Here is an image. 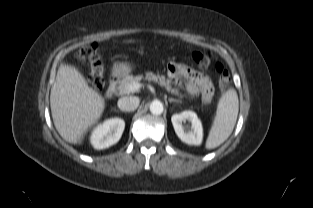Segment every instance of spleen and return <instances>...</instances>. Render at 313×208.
I'll return each instance as SVG.
<instances>
[{"mask_svg": "<svg viewBox=\"0 0 313 208\" xmlns=\"http://www.w3.org/2000/svg\"><path fill=\"white\" fill-rule=\"evenodd\" d=\"M239 111L237 92L229 89L221 96L213 125L206 140V148L214 149L224 143L231 135Z\"/></svg>", "mask_w": 313, "mask_h": 208, "instance_id": "obj_1", "label": "spleen"}]
</instances>
